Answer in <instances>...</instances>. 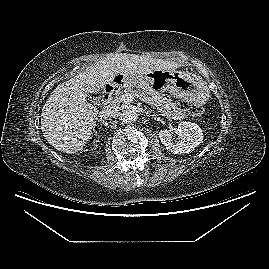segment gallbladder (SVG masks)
Here are the masks:
<instances>
[{"mask_svg":"<svg viewBox=\"0 0 269 269\" xmlns=\"http://www.w3.org/2000/svg\"><path fill=\"white\" fill-rule=\"evenodd\" d=\"M88 99H90V101L92 102V103H94V104H97L98 103V99L97 98H92V97H89L88 96Z\"/></svg>","mask_w":269,"mask_h":269,"instance_id":"bac80fb5","label":"gallbladder"}]
</instances>
